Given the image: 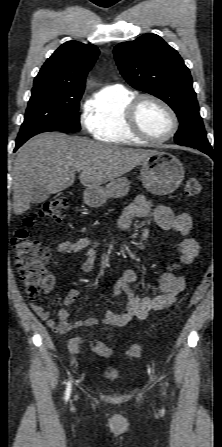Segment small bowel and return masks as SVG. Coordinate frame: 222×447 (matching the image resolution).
I'll return each instance as SVG.
<instances>
[{"mask_svg":"<svg viewBox=\"0 0 222 447\" xmlns=\"http://www.w3.org/2000/svg\"><path fill=\"white\" fill-rule=\"evenodd\" d=\"M151 215L156 225L161 230H173L180 234L181 240L177 245L179 259L169 266L168 270L160 277L158 293L154 297H141L131 288L138 280L137 273L132 269H125L114 281L112 293L115 297H122L126 301V310L104 312L102 322L105 325L121 327L132 318L146 319L151 312L170 310L177 302L178 295L185 289V280L176 274L181 265H188L199 254V245L195 239L190 237L193 227V219L188 213L175 214L173 210L165 205L155 204L144 195H138L125 209L117 221L119 231L126 230L135 219H143ZM97 245L90 238L84 237L76 241H63L57 244L56 250L60 253L73 254L78 260H83L82 271L91 274L95 268ZM54 278L43 287V292L49 294L54 287ZM80 289H70L64 299L65 305L73 304L80 296ZM32 310L43 320L46 325L57 333H67L81 327H93L98 324V319L89 317L84 320L70 322L71 312L62 308L58 312L59 321L51 318V315L41 305L31 304ZM94 340H86L82 337H73L69 341V349L72 353H79L87 344L93 347Z\"/></svg>","mask_w":222,"mask_h":447,"instance_id":"obj_1","label":"small bowel"}]
</instances>
